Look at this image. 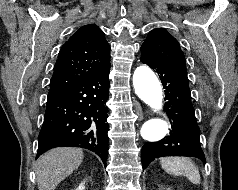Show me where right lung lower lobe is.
Masks as SVG:
<instances>
[{"label":"right lung lower lobe","mask_w":238,"mask_h":190,"mask_svg":"<svg viewBox=\"0 0 238 190\" xmlns=\"http://www.w3.org/2000/svg\"><path fill=\"white\" fill-rule=\"evenodd\" d=\"M109 70L110 65L48 97L36 158L54 147H80L95 152L106 165Z\"/></svg>","instance_id":"98d812e1"}]
</instances>
